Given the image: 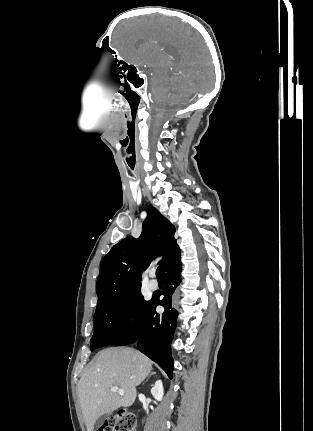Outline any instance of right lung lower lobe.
<instances>
[{
	"label": "right lung lower lobe",
	"instance_id": "right-lung-lower-lobe-1",
	"mask_svg": "<svg viewBox=\"0 0 313 431\" xmlns=\"http://www.w3.org/2000/svg\"><path fill=\"white\" fill-rule=\"evenodd\" d=\"M180 253L165 270L164 298L153 295L144 308L139 322L127 334L114 343L115 346L127 345L137 341L138 349L156 362L172 378L173 359L170 342L173 338L178 312L172 307V295L181 283ZM158 305L165 308L161 315L156 313Z\"/></svg>",
	"mask_w": 313,
	"mask_h": 431
}]
</instances>
